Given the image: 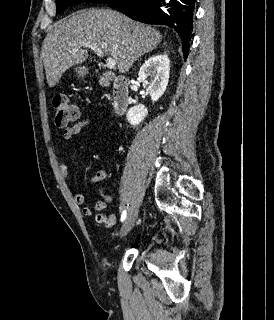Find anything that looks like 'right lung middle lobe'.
Listing matches in <instances>:
<instances>
[{
  "instance_id": "1",
  "label": "right lung middle lobe",
  "mask_w": 274,
  "mask_h": 320,
  "mask_svg": "<svg viewBox=\"0 0 274 320\" xmlns=\"http://www.w3.org/2000/svg\"><path fill=\"white\" fill-rule=\"evenodd\" d=\"M111 0H56V12L60 13L63 9L82 2L107 4Z\"/></svg>"
}]
</instances>
